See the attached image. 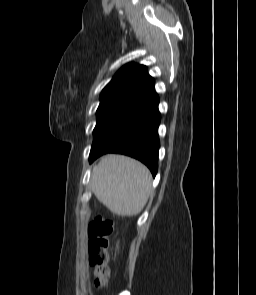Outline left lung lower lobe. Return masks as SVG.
Returning <instances> with one entry per match:
<instances>
[{
  "mask_svg": "<svg viewBox=\"0 0 256 295\" xmlns=\"http://www.w3.org/2000/svg\"><path fill=\"white\" fill-rule=\"evenodd\" d=\"M158 103L159 98L156 97L94 143L89 155L90 163L106 153L125 154L147 165L155 177L160 145Z\"/></svg>",
  "mask_w": 256,
  "mask_h": 295,
  "instance_id": "1",
  "label": "left lung lower lobe"
}]
</instances>
